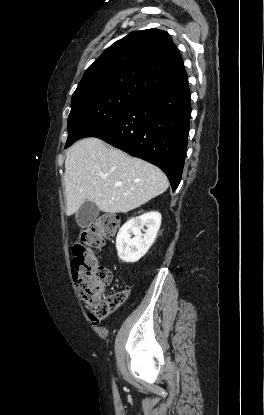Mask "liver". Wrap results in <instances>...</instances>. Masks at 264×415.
<instances>
[{
    "label": "liver",
    "instance_id": "6515ba94",
    "mask_svg": "<svg viewBox=\"0 0 264 415\" xmlns=\"http://www.w3.org/2000/svg\"><path fill=\"white\" fill-rule=\"evenodd\" d=\"M63 179L68 216L85 201L93 202L102 212L127 213L162 194L169 185L155 165L93 137L68 150Z\"/></svg>",
    "mask_w": 264,
    "mask_h": 415
}]
</instances>
